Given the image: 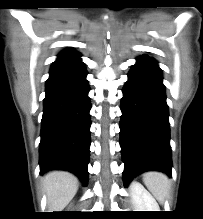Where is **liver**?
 Returning <instances> with one entry per match:
<instances>
[{
  "instance_id": "liver-1",
  "label": "liver",
  "mask_w": 203,
  "mask_h": 219,
  "mask_svg": "<svg viewBox=\"0 0 203 219\" xmlns=\"http://www.w3.org/2000/svg\"><path fill=\"white\" fill-rule=\"evenodd\" d=\"M79 182L76 176L66 171H51L43 178V191L47 196L49 212H59L75 196Z\"/></svg>"
}]
</instances>
